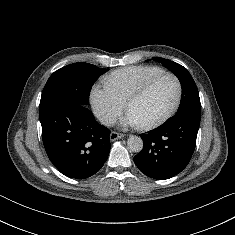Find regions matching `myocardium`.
Masks as SVG:
<instances>
[{
  "instance_id": "obj_1",
  "label": "myocardium",
  "mask_w": 235,
  "mask_h": 235,
  "mask_svg": "<svg viewBox=\"0 0 235 235\" xmlns=\"http://www.w3.org/2000/svg\"><path fill=\"white\" fill-rule=\"evenodd\" d=\"M164 77L171 78L176 84L177 92H176V97H175L174 103L172 104L170 109L164 115L159 117L158 119H156L152 122H149V123L141 124L140 127L142 129H145V130L154 129V128L164 124L166 121H168L176 113V111L178 110V107L180 105V102H181V99H182V93H183V88H182L181 81L173 73L165 72V71L161 72V73H158V74L152 76L151 78H149L146 82H144L135 92H133L129 96V98L125 102V107H126L127 110H129V107L135 101L142 98L149 91V89L152 87V85L156 81H158L159 79L164 78Z\"/></svg>"
}]
</instances>
